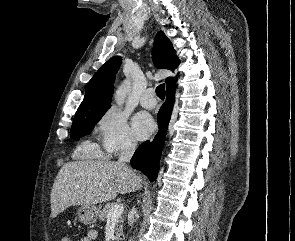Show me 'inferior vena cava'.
<instances>
[{"label": "inferior vena cava", "mask_w": 295, "mask_h": 241, "mask_svg": "<svg viewBox=\"0 0 295 241\" xmlns=\"http://www.w3.org/2000/svg\"><path fill=\"white\" fill-rule=\"evenodd\" d=\"M135 148H136V141L133 140L132 138H126L122 142L119 159L117 163L119 165L128 167L126 163L130 162L134 154ZM132 224H133V219L130 220V225ZM129 241H132V238Z\"/></svg>", "instance_id": "1"}]
</instances>
